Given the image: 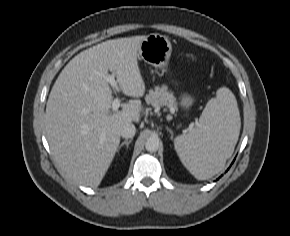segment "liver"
Masks as SVG:
<instances>
[{"mask_svg":"<svg viewBox=\"0 0 290 236\" xmlns=\"http://www.w3.org/2000/svg\"><path fill=\"white\" fill-rule=\"evenodd\" d=\"M145 38L107 40L82 51L52 87L45 113L47 140L59 169L80 184L98 187L118 150L121 126L140 121V100L111 111L107 77L111 71L127 96L144 95L138 57Z\"/></svg>","mask_w":290,"mask_h":236,"instance_id":"1","label":"liver"}]
</instances>
